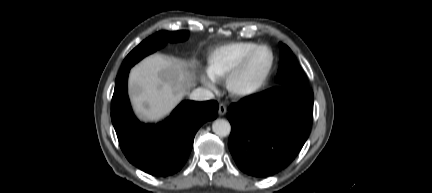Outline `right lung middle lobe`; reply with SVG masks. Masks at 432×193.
<instances>
[{"instance_id": "1", "label": "right lung middle lobe", "mask_w": 432, "mask_h": 193, "mask_svg": "<svg viewBox=\"0 0 432 193\" xmlns=\"http://www.w3.org/2000/svg\"><path fill=\"white\" fill-rule=\"evenodd\" d=\"M188 31H160L150 36L134 48L124 59L121 70L131 68L145 56L162 48L167 42H178L188 38Z\"/></svg>"}]
</instances>
